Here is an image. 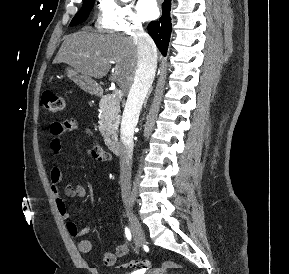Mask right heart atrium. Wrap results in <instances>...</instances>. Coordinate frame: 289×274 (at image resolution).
Wrapping results in <instances>:
<instances>
[{
  "mask_svg": "<svg viewBox=\"0 0 289 274\" xmlns=\"http://www.w3.org/2000/svg\"><path fill=\"white\" fill-rule=\"evenodd\" d=\"M98 27L102 30L133 35L142 30V21L129 3L99 0Z\"/></svg>",
  "mask_w": 289,
  "mask_h": 274,
  "instance_id": "1",
  "label": "right heart atrium"
}]
</instances>
